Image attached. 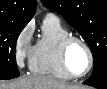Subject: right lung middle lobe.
<instances>
[{
	"mask_svg": "<svg viewBox=\"0 0 107 89\" xmlns=\"http://www.w3.org/2000/svg\"><path fill=\"white\" fill-rule=\"evenodd\" d=\"M26 26L24 23L0 19V79H12L19 76L16 65V41Z\"/></svg>",
	"mask_w": 107,
	"mask_h": 89,
	"instance_id": "1",
	"label": "right lung middle lobe"
}]
</instances>
